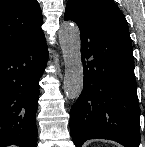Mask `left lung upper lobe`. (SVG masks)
<instances>
[{
  "mask_svg": "<svg viewBox=\"0 0 145 147\" xmlns=\"http://www.w3.org/2000/svg\"><path fill=\"white\" fill-rule=\"evenodd\" d=\"M70 9L89 14H111L125 18L113 0H69L66 11Z\"/></svg>",
  "mask_w": 145,
  "mask_h": 147,
  "instance_id": "5c2ea615",
  "label": "left lung upper lobe"
}]
</instances>
